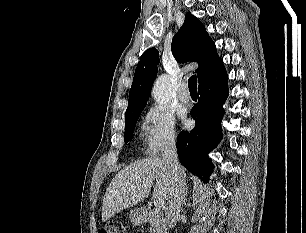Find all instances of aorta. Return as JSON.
<instances>
[{"label":"aorta","instance_id":"1","mask_svg":"<svg viewBox=\"0 0 306 233\" xmlns=\"http://www.w3.org/2000/svg\"><path fill=\"white\" fill-rule=\"evenodd\" d=\"M152 95L161 108L168 105L171 100V88L167 75H161L157 78L153 85Z\"/></svg>","mask_w":306,"mask_h":233}]
</instances>
